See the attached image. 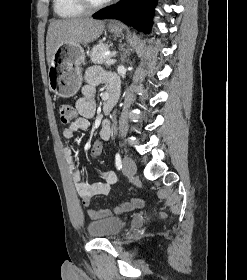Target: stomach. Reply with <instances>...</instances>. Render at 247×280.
Masks as SVG:
<instances>
[{
    "label": "stomach",
    "instance_id": "stomach-1",
    "mask_svg": "<svg viewBox=\"0 0 247 280\" xmlns=\"http://www.w3.org/2000/svg\"><path fill=\"white\" fill-rule=\"evenodd\" d=\"M111 33L122 34L120 26H109ZM85 51L80 44H61L54 52L48 70L49 88L61 97L75 95L82 84Z\"/></svg>",
    "mask_w": 247,
    "mask_h": 280
}]
</instances>
